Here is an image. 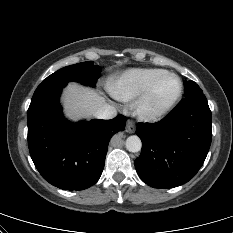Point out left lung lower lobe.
Returning <instances> with one entry per match:
<instances>
[{"label":"left lung lower lobe","mask_w":233,"mask_h":233,"mask_svg":"<svg viewBox=\"0 0 233 233\" xmlns=\"http://www.w3.org/2000/svg\"><path fill=\"white\" fill-rule=\"evenodd\" d=\"M139 177L154 188H173L192 179L203 165L212 138L211 111L204 94L185 97L161 121L138 123Z\"/></svg>","instance_id":"left-lung-lower-lobe-1"}]
</instances>
